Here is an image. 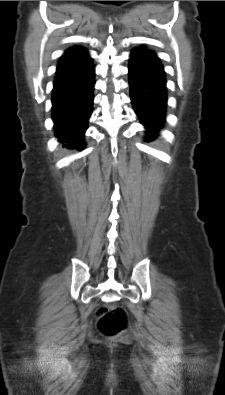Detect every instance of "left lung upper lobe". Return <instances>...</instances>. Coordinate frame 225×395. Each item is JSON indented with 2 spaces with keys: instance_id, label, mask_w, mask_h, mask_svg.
Here are the masks:
<instances>
[{
  "instance_id": "left-lung-upper-lobe-1",
  "label": "left lung upper lobe",
  "mask_w": 225,
  "mask_h": 395,
  "mask_svg": "<svg viewBox=\"0 0 225 395\" xmlns=\"http://www.w3.org/2000/svg\"><path fill=\"white\" fill-rule=\"evenodd\" d=\"M132 53L137 56L157 57V54L154 51L149 50L144 46L133 49Z\"/></svg>"
}]
</instances>
